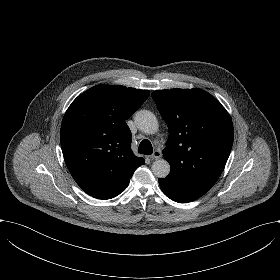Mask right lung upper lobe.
<instances>
[{"mask_svg":"<svg viewBox=\"0 0 280 280\" xmlns=\"http://www.w3.org/2000/svg\"><path fill=\"white\" fill-rule=\"evenodd\" d=\"M148 96V90L97 85L67 109L61 148L72 177L88 195L103 200L116 197L145 164L131 150V131L125 120Z\"/></svg>","mask_w":280,"mask_h":280,"instance_id":"right-lung-upper-lobe-1","label":"right lung upper lobe"}]
</instances>
